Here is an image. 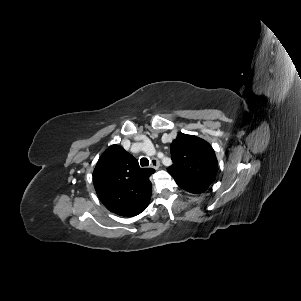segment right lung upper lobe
Returning <instances> with one entry per match:
<instances>
[{
  "label": "right lung upper lobe",
  "instance_id": "1",
  "mask_svg": "<svg viewBox=\"0 0 301 301\" xmlns=\"http://www.w3.org/2000/svg\"><path fill=\"white\" fill-rule=\"evenodd\" d=\"M152 168H140L138 161L121 146H110L93 172L97 195L105 207L121 216H136L149 204Z\"/></svg>",
  "mask_w": 301,
  "mask_h": 301
}]
</instances>
